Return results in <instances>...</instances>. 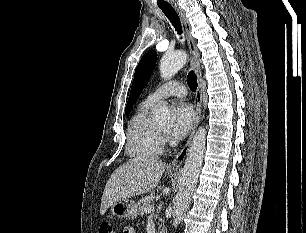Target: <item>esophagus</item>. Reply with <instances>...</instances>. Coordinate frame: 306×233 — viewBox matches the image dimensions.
<instances>
[{
	"label": "esophagus",
	"mask_w": 306,
	"mask_h": 233,
	"mask_svg": "<svg viewBox=\"0 0 306 233\" xmlns=\"http://www.w3.org/2000/svg\"><path fill=\"white\" fill-rule=\"evenodd\" d=\"M175 8L177 10V12L179 13L182 22L184 24V28H185V34H186V39H187V43L189 46V50H190V54H191V66L193 68V70L196 72L197 75V82H198V86H197V91L195 94V110H196V119H195V123L192 129V132L190 134V137L187 141V143L185 144V146L180 150V152L175 156V158L173 159V161L170 164V167L172 168H179L188 151H189V147L191 144V140L193 138V135L195 133V130L199 124L200 121V117H201V106H202V75H201V70H200V55L198 52V49L196 47V43L194 38L192 37V33H191V26L187 20V18L185 17L184 12L175 5Z\"/></svg>",
	"instance_id": "1"
}]
</instances>
